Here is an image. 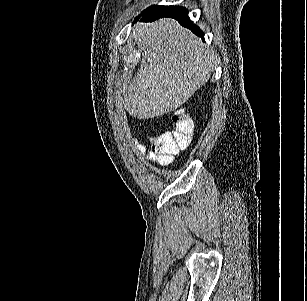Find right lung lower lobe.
<instances>
[{
	"instance_id": "1",
	"label": "right lung lower lobe",
	"mask_w": 307,
	"mask_h": 301,
	"mask_svg": "<svg viewBox=\"0 0 307 301\" xmlns=\"http://www.w3.org/2000/svg\"><path fill=\"white\" fill-rule=\"evenodd\" d=\"M187 13L188 10L181 6H154L143 14L141 21L152 22L163 17L174 18L204 40L203 32L192 23Z\"/></svg>"
}]
</instances>
